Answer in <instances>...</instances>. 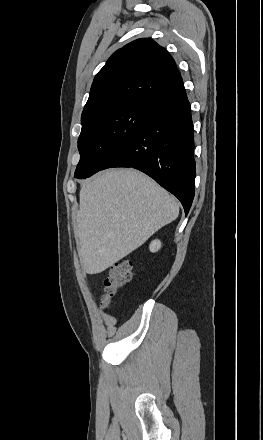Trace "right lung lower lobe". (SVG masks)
<instances>
[{"label": "right lung lower lobe", "mask_w": 263, "mask_h": 440, "mask_svg": "<svg viewBox=\"0 0 263 440\" xmlns=\"http://www.w3.org/2000/svg\"><path fill=\"white\" fill-rule=\"evenodd\" d=\"M132 167L175 195L187 215L194 198L196 166L193 123L184 85L152 104L137 132L109 158L103 169Z\"/></svg>", "instance_id": "right-lung-lower-lobe-1"}]
</instances>
